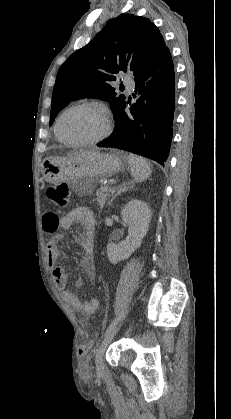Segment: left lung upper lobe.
Wrapping results in <instances>:
<instances>
[{
    "label": "left lung upper lobe",
    "mask_w": 231,
    "mask_h": 419,
    "mask_svg": "<svg viewBox=\"0 0 231 419\" xmlns=\"http://www.w3.org/2000/svg\"><path fill=\"white\" fill-rule=\"evenodd\" d=\"M159 29L147 18L121 14L59 68L52 94L50 125L68 101L96 97L110 102L115 114L125 102L109 84L113 74L132 72L134 79L168 51ZM133 55V56H132Z\"/></svg>",
    "instance_id": "5c2ea615"
}]
</instances>
